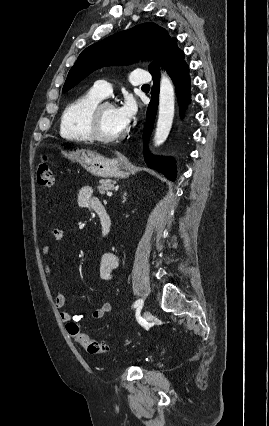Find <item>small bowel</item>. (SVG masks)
I'll use <instances>...</instances> for the list:
<instances>
[{
  "label": "small bowel",
  "instance_id": "c3829d8e",
  "mask_svg": "<svg viewBox=\"0 0 269 426\" xmlns=\"http://www.w3.org/2000/svg\"><path fill=\"white\" fill-rule=\"evenodd\" d=\"M78 206L81 208H88L95 211L96 208L102 206L99 199L93 194V188L91 186H83L80 188L77 196ZM52 237L56 241H62L64 238V231L60 226H56L52 229ZM54 249L48 241H45L41 248V256L43 259V266L45 276L48 280L52 278V267L49 260L53 256ZM120 264V257L115 252H107L102 256L99 275L103 280H111L114 277V271ZM54 303L57 309H59V317L63 322L80 321L83 318L81 313H73L67 310H62L66 303V294L63 291L56 293ZM112 310V303L105 301L102 305L95 309L92 313L94 319H103Z\"/></svg>",
  "mask_w": 269,
  "mask_h": 426
}]
</instances>
